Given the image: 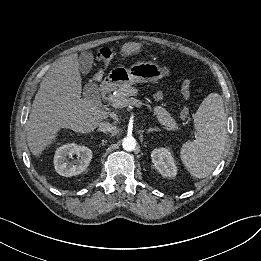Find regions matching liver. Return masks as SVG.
<instances>
[{
    "instance_id": "1",
    "label": "liver",
    "mask_w": 261,
    "mask_h": 261,
    "mask_svg": "<svg viewBox=\"0 0 261 261\" xmlns=\"http://www.w3.org/2000/svg\"><path fill=\"white\" fill-rule=\"evenodd\" d=\"M141 43L127 42L121 55L138 54ZM81 75L77 54L58 62L45 76L35 95L27 121V144L34 156L55 140L60 129L89 133L108 113L89 99L81 98Z\"/></svg>"
}]
</instances>
